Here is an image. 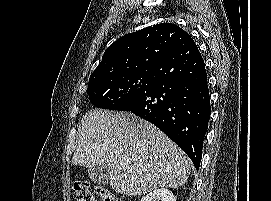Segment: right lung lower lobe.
Listing matches in <instances>:
<instances>
[{
  "instance_id": "obj_1",
  "label": "right lung lower lobe",
  "mask_w": 271,
  "mask_h": 201,
  "mask_svg": "<svg viewBox=\"0 0 271 201\" xmlns=\"http://www.w3.org/2000/svg\"><path fill=\"white\" fill-rule=\"evenodd\" d=\"M152 73L151 86L119 110L132 112L161 129L198 170L211 106L205 64L190 35Z\"/></svg>"
}]
</instances>
